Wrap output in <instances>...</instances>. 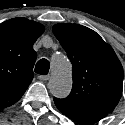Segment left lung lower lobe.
<instances>
[{
	"mask_svg": "<svg viewBox=\"0 0 125 125\" xmlns=\"http://www.w3.org/2000/svg\"><path fill=\"white\" fill-rule=\"evenodd\" d=\"M106 115H96V116H89V117H77V116H67V117L83 124H93L98 122L102 118H104Z\"/></svg>",
	"mask_w": 125,
	"mask_h": 125,
	"instance_id": "1",
	"label": "left lung lower lobe"
}]
</instances>
